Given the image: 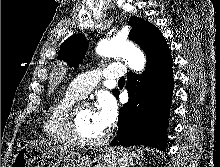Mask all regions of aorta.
<instances>
[{
    "mask_svg": "<svg viewBox=\"0 0 220 167\" xmlns=\"http://www.w3.org/2000/svg\"><path fill=\"white\" fill-rule=\"evenodd\" d=\"M96 52L104 57H121L129 68L136 72H141L145 68L146 58L143 52L132 42L123 38L115 37L108 41H100Z\"/></svg>",
    "mask_w": 220,
    "mask_h": 167,
    "instance_id": "762f6f07",
    "label": "aorta"
}]
</instances>
